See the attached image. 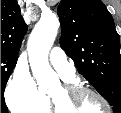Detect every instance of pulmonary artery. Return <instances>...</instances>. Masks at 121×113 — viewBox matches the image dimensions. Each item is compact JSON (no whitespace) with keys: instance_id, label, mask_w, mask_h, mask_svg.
<instances>
[{"instance_id":"obj_1","label":"pulmonary artery","mask_w":121,"mask_h":113,"mask_svg":"<svg viewBox=\"0 0 121 113\" xmlns=\"http://www.w3.org/2000/svg\"><path fill=\"white\" fill-rule=\"evenodd\" d=\"M49 61L63 79L75 78V67L61 48L56 47L52 49Z\"/></svg>"}]
</instances>
